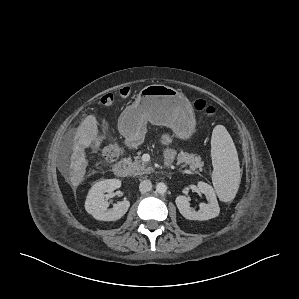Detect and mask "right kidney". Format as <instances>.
<instances>
[{
	"instance_id": "obj_1",
	"label": "right kidney",
	"mask_w": 299,
	"mask_h": 299,
	"mask_svg": "<svg viewBox=\"0 0 299 299\" xmlns=\"http://www.w3.org/2000/svg\"><path fill=\"white\" fill-rule=\"evenodd\" d=\"M121 186L118 179H106L96 182L90 189L86 201L85 210L95 219L101 221H116L122 218L130 207L127 200L114 204L113 208L108 209L109 204L105 201V193H111Z\"/></svg>"
}]
</instances>
